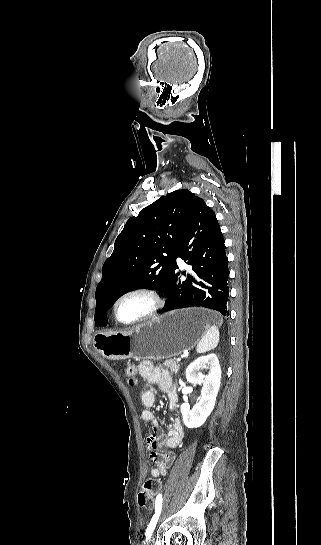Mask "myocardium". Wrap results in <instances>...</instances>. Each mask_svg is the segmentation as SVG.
I'll list each match as a JSON object with an SVG mask.
<instances>
[{"mask_svg":"<svg viewBox=\"0 0 321 545\" xmlns=\"http://www.w3.org/2000/svg\"><path fill=\"white\" fill-rule=\"evenodd\" d=\"M131 296H145L150 302L149 310L141 317L133 321H122L118 315V306L126 298ZM166 306V300L162 293L155 288L147 286H138L125 290L115 300L113 313L116 321L124 326H139L156 318Z\"/></svg>","mask_w":321,"mask_h":545,"instance_id":"f54148a6","label":"myocardium"}]
</instances>
